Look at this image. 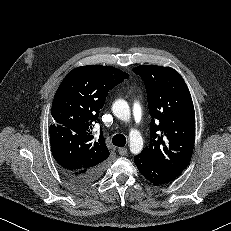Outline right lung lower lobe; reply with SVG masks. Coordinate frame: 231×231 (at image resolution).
Here are the masks:
<instances>
[{"mask_svg": "<svg viewBox=\"0 0 231 231\" xmlns=\"http://www.w3.org/2000/svg\"><path fill=\"white\" fill-rule=\"evenodd\" d=\"M103 170V165L91 170L67 171L66 176L74 183L86 184L95 180Z\"/></svg>", "mask_w": 231, "mask_h": 231, "instance_id": "obj_1", "label": "right lung lower lobe"}]
</instances>
